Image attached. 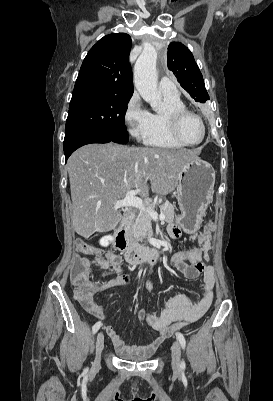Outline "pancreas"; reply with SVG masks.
Instances as JSON below:
<instances>
[{"label":"pancreas","instance_id":"cf45deb5","mask_svg":"<svg viewBox=\"0 0 273 401\" xmlns=\"http://www.w3.org/2000/svg\"><path fill=\"white\" fill-rule=\"evenodd\" d=\"M160 213L165 215V223H173L176 215L174 213V207L171 203H165V205H159ZM152 219L148 213H139L133 227L132 235L136 241H142L146 235H152Z\"/></svg>","mask_w":273,"mask_h":401}]
</instances>
